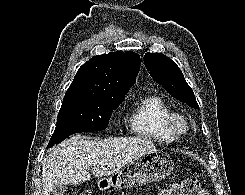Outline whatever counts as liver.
<instances>
[{
	"label": "liver",
	"instance_id": "1",
	"mask_svg": "<svg viewBox=\"0 0 245 195\" xmlns=\"http://www.w3.org/2000/svg\"><path fill=\"white\" fill-rule=\"evenodd\" d=\"M155 145L146 139L109 137L89 140L76 135L62 142L46 156L42 169L43 194L58 185H77L96 177L109 176L141 156L154 153Z\"/></svg>",
	"mask_w": 245,
	"mask_h": 195
}]
</instances>
